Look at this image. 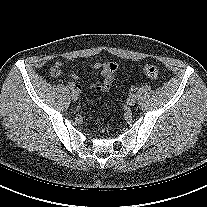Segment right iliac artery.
<instances>
[{"label":"right iliac artery","mask_w":207,"mask_h":207,"mask_svg":"<svg viewBox=\"0 0 207 207\" xmlns=\"http://www.w3.org/2000/svg\"><path fill=\"white\" fill-rule=\"evenodd\" d=\"M68 88H69L70 90H74V87H73L72 85H69Z\"/></svg>","instance_id":"82829eb1"}]
</instances>
